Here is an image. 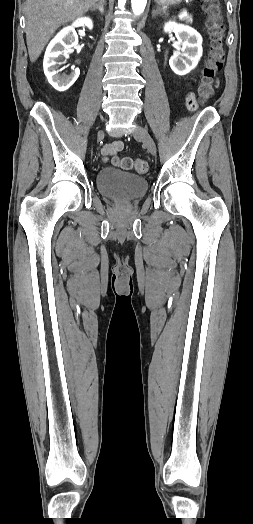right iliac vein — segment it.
<instances>
[{"label":"right iliac vein","mask_w":253,"mask_h":524,"mask_svg":"<svg viewBox=\"0 0 253 524\" xmlns=\"http://www.w3.org/2000/svg\"><path fill=\"white\" fill-rule=\"evenodd\" d=\"M103 135H104V132H103V131H99V132H98V136H99V137H102Z\"/></svg>","instance_id":"63e3f726"}]
</instances>
